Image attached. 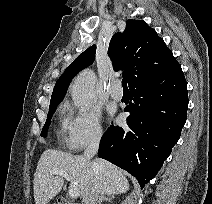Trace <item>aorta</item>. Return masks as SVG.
<instances>
[{
  "instance_id": "aorta-1",
  "label": "aorta",
  "mask_w": 212,
  "mask_h": 204,
  "mask_svg": "<svg viewBox=\"0 0 212 204\" xmlns=\"http://www.w3.org/2000/svg\"><path fill=\"white\" fill-rule=\"evenodd\" d=\"M96 75L90 69H85L76 77L71 87L74 106L82 111H88L93 102Z\"/></svg>"
}]
</instances>
